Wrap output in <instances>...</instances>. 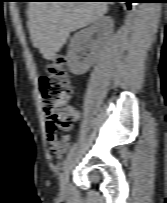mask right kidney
Here are the masks:
<instances>
[{
    "instance_id": "obj_1",
    "label": "right kidney",
    "mask_w": 167,
    "mask_h": 203,
    "mask_svg": "<svg viewBox=\"0 0 167 203\" xmlns=\"http://www.w3.org/2000/svg\"><path fill=\"white\" fill-rule=\"evenodd\" d=\"M113 27L114 24L111 17L103 16L94 22L91 27L83 29L74 35L68 50V67L71 73L82 75L89 70L96 61L102 44L101 41L87 44L90 36L94 33H99L104 39H107L112 33ZM85 46L88 50H85Z\"/></svg>"
}]
</instances>
